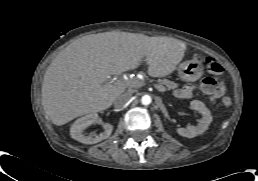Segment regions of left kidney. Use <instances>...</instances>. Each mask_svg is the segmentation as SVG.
<instances>
[{
    "mask_svg": "<svg viewBox=\"0 0 258 181\" xmlns=\"http://www.w3.org/2000/svg\"><path fill=\"white\" fill-rule=\"evenodd\" d=\"M190 105L193 109L197 110L202 115V118L195 126L189 125L186 128H177V133L187 138H193L204 133L208 129L210 123L212 122L211 112L203 102L193 100L191 101Z\"/></svg>",
    "mask_w": 258,
    "mask_h": 181,
    "instance_id": "left-kidney-1",
    "label": "left kidney"
}]
</instances>
